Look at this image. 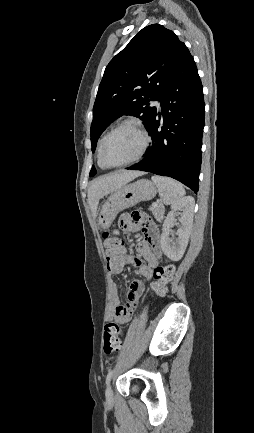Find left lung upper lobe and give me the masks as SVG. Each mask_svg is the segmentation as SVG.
<instances>
[{"label": "left lung upper lobe", "mask_w": 254, "mask_h": 433, "mask_svg": "<svg viewBox=\"0 0 254 433\" xmlns=\"http://www.w3.org/2000/svg\"><path fill=\"white\" fill-rule=\"evenodd\" d=\"M188 52L177 35L159 24L143 28L107 65L93 107L92 151L102 132L122 115H133L149 128L161 99ZM96 170L92 167L90 176Z\"/></svg>", "instance_id": "5c2ea615"}]
</instances>
